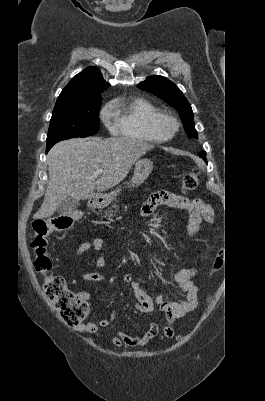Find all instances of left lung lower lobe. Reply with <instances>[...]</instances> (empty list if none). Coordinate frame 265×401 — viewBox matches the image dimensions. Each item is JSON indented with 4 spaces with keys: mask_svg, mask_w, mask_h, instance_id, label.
<instances>
[{
    "mask_svg": "<svg viewBox=\"0 0 265 401\" xmlns=\"http://www.w3.org/2000/svg\"><path fill=\"white\" fill-rule=\"evenodd\" d=\"M205 156H206V153H205V152H203V153L200 154V157H202V158L206 161V157H205Z\"/></svg>",
    "mask_w": 265,
    "mask_h": 401,
    "instance_id": "left-lung-lower-lobe-1",
    "label": "left lung lower lobe"
}]
</instances>
